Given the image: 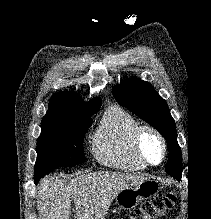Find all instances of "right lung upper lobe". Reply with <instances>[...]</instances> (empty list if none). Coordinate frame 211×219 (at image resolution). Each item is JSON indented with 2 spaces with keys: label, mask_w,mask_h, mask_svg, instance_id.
<instances>
[{
  "label": "right lung upper lobe",
  "mask_w": 211,
  "mask_h": 219,
  "mask_svg": "<svg viewBox=\"0 0 211 219\" xmlns=\"http://www.w3.org/2000/svg\"><path fill=\"white\" fill-rule=\"evenodd\" d=\"M100 106L101 101L99 98L84 102L74 92H58L50 99L46 116L65 117L90 115L96 113Z\"/></svg>",
  "instance_id": "cb5924a9"
}]
</instances>
